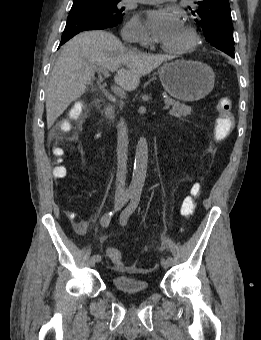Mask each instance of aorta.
<instances>
[{
	"label": "aorta",
	"instance_id": "762f6f07",
	"mask_svg": "<svg viewBox=\"0 0 261 340\" xmlns=\"http://www.w3.org/2000/svg\"><path fill=\"white\" fill-rule=\"evenodd\" d=\"M148 163V144L145 137H140L135 152V162L129 194L139 196L142 192Z\"/></svg>",
	"mask_w": 261,
	"mask_h": 340
}]
</instances>
